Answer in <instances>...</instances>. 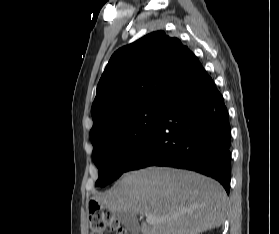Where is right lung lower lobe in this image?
Segmentation results:
<instances>
[{
	"instance_id": "98d812e1",
	"label": "right lung lower lobe",
	"mask_w": 279,
	"mask_h": 234,
	"mask_svg": "<svg viewBox=\"0 0 279 234\" xmlns=\"http://www.w3.org/2000/svg\"><path fill=\"white\" fill-rule=\"evenodd\" d=\"M184 168L230 190V124L227 108L204 68L164 107L153 132L126 171L148 166Z\"/></svg>"
}]
</instances>
